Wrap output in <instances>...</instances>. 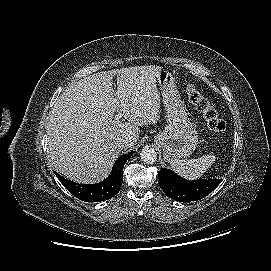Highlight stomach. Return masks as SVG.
Segmentation results:
<instances>
[{
  "label": "stomach",
  "instance_id": "obj_1",
  "mask_svg": "<svg viewBox=\"0 0 271 271\" xmlns=\"http://www.w3.org/2000/svg\"><path fill=\"white\" fill-rule=\"evenodd\" d=\"M157 81L167 125L154 137V142L163 149L165 160L171 163L186 158L194 152L198 144V135L181 100L174 75L162 69Z\"/></svg>",
  "mask_w": 271,
  "mask_h": 271
}]
</instances>
